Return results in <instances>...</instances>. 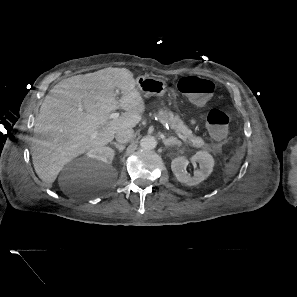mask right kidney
<instances>
[{
    "label": "right kidney",
    "instance_id": "1",
    "mask_svg": "<svg viewBox=\"0 0 297 297\" xmlns=\"http://www.w3.org/2000/svg\"><path fill=\"white\" fill-rule=\"evenodd\" d=\"M86 156L97 162L111 164L115 156V151L110 147H95L90 149Z\"/></svg>",
    "mask_w": 297,
    "mask_h": 297
}]
</instances>
